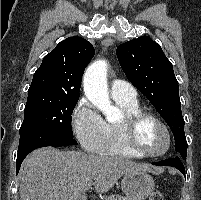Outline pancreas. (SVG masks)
<instances>
[{
	"instance_id": "1",
	"label": "pancreas",
	"mask_w": 201,
	"mask_h": 200,
	"mask_svg": "<svg viewBox=\"0 0 201 200\" xmlns=\"http://www.w3.org/2000/svg\"><path fill=\"white\" fill-rule=\"evenodd\" d=\"M104 200H126V199H123L119 195H110L108 197H104Z\"/></svg>"
}]
</instances>
